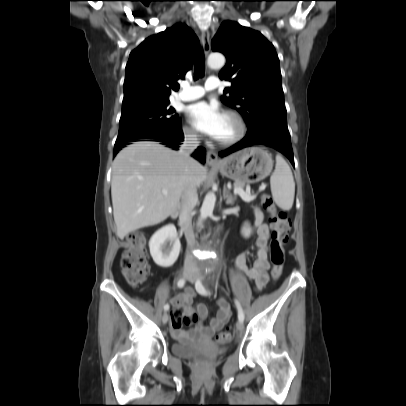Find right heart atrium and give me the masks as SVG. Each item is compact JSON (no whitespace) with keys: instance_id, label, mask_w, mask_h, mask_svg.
Instances as JSON below:
<instances>
[{"instance_id":"d8ad5b80","label":"right heart atrium","mask_w":406,"mask_h":406,"mask_svg":"<svg viewBox=\"0 0 406 406\" xmlns=\"http://www.w3.org/2000/svg\"><path fill=\"white\" fill-rule=\"evenodd\" d=\"M182 133L187 140L196 141L199 138L197 132L193 128L186 125L183 126Z\"/></svg>"}]
</instances>
